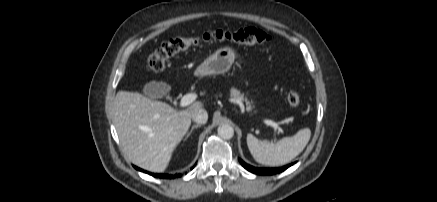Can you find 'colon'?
Here are the masks:
<instances>
[{
	"instance_id": "obj_1",
	"label": "colon",
	"mask_w": 437,
	"mask_h": 202,
	"mask_svg": "<svg viewBox=\"0 0 437 202\" xmlns=\"http://www.w3.org/2000/svg\"><path fill=\"white\" fill-rule=\"evenodd\" d=\"M271 37L264 31L256 28H242L229 31L216 29L203 33L196 37H176L164 43L153 52L147 60V70L150 73L161 72L170 58L191 47L210 42H229L242 45L267 44ZM287 101L290 106L297 107L300 104L299 93L291 89L287 93Z\"/></svg>"
}]
</instances>
